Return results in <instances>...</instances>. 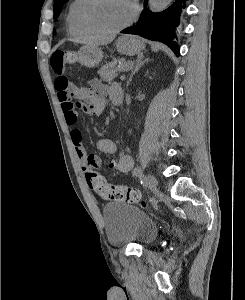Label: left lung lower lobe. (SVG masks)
I'll use <instances>...</instances> for the list:
<instances>
[{
    "label": "left lung lower lobe",
    "instance_id": "left-lung-lower-lobe-1",
    "mask_svg": "<svg viewBox=\"0 0 245 300\" xmlns=\"http://www.w3.org/2000/svg\"><path fill=\"white\" fill-rule=\"evenodd\" d=\"M185 0H175L166 10L159 13L147 12V0L145 10L142 12L138 23L121 31L123 34H135L153 41H160L168 45L179 56V46L176 42V32L179 26V18Z\"/></svg>",
    "mask_w": 245,
    "mask_h": 300
}]
</instances>
